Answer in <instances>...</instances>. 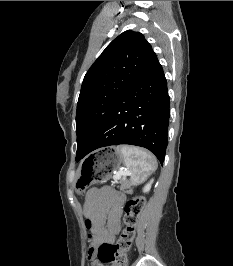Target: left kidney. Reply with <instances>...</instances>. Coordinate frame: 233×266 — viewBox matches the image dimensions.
Listing matches in <instances>:
<instances>
[{"label":"left kidney","instance_id":"5707ae66","mask_svg":"<svg viewBox=\"0 0 233 266\" xmlns=\"http://www.w3.org/2000/svg\"><path fill=\"white\" fill-rule=\"evenodd\" d=\"M152 183H153V180H151L149 183H147V184L144 186V188H143V192H144V193H147V192L150 191Z\"/></svg>","mask_w":233,"mask_h":266}]
</instances>
